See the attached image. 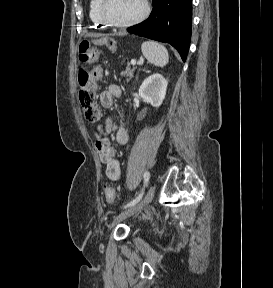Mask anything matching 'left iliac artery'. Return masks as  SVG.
<instances>
[{
  "instance_id": "obj_1",
  "label": "left iliac artery",
  "mask_w": 273,
  "mask_h": 288,
  "mask_svg": "<svg viewBox=\"0 0 273 288\" xmlns=\"http://www.w3.org/2000/svg\"><path fill=\"white\" fill-rule=\"evenodd\" d=\"M149 179H150V173L148 171H146L144 173V187H143L142 192L134 200H132L131 202H129L128 204L123 206V208L134 206L136 203H138L140 201V199L142 198L143 192H144V188L147 185V183L149 182Z\"/></svg>"
}]
</instances>
